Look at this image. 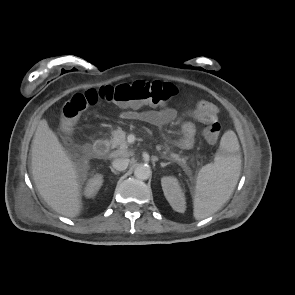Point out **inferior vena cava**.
Here are the masks:
<instances>
[{"label": "inferior vena cava", "instance_id": "inferior-vena-cava-1", "mask_svg": "<svg viewBox=\"0 0 295 295\" xmlns=\"http://www.w3.org/2000/svg\"><path fill=\"white\" fill-rule=\"evenodd\" d=\"M129 162L128 158H117L112 162V166L118 171H124L128 167Z\"/></svg>", "mask_w": 295, "mask_h": 295}]
</instances>
